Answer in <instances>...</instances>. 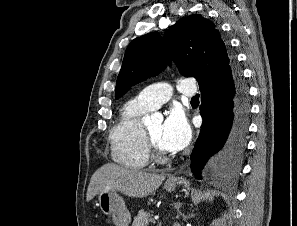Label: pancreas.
Here are the masks:
<instances>
[{"mask_svg": "<svg viewBox=\"0 0 297 226\" xmlns=\"http://www.w3.org/2000/svg\"><path fill=\"white\" fill-rule=\"evenodd\" d=\"M150 216L151 215L147 211H139L137 216L134 217L132 226H147L149 222L153 221V219Z\"/></svg>", "mask_w": 297, "mask_h": 226, "instance_id": "1", "label": "pancreas"}]
</instances>
